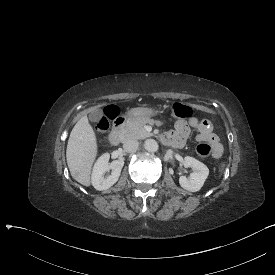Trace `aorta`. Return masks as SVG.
<instances>
[{
	"label": "aorta",
	"instance_id": "aorta-1",
	"mask_svg": "<svg viewBox=\"0 0 275 275\" xmlns=\"http://www.w3.org/2000/svg\"><path fill=\"white\" fill-rule=\"evenodd\" d=\"M144 148L148 152H156L158 150V143L154 139H147L144 143Z\"/></svg>",
	"mask_w": 275,
	"mask_h": 275
}]
</instances>
